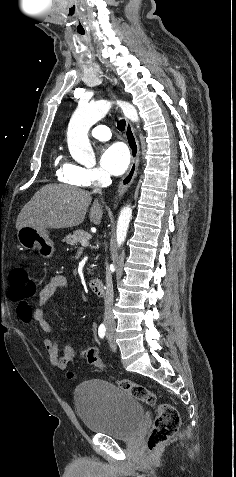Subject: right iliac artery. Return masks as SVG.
Wrapping results in <instances>:
<instances>
[{
	"instance_id": "82829eb1",
	"label": "right iliac artery",
	"mask_w": 236,
	"mask_h": 477,
	"mask_svg": "<svg viewBox=\"0 0 236 477\" xmlns=\"http://www.w3.org/2000/svg\"><path fill=\"white\" fill-rule=\"evenodd\" d=\"M106 332V328L104 324H101L98 329V335L100 338H104Z\"/></svg>"
}]
</instances>
